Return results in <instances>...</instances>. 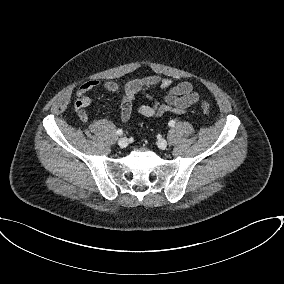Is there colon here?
I'll return each mask as SVG.
<instances>
[{"mask_svg": "<svg viewBox=\"0 0 284 284\" xmlns=\"http://www.w3.org/2000/svg\"><path fill=\"white\" fill-rule=\"evenodd\" d=\"M201 108L204 114L208 115L210 113V105L207 101L201 102Z\"/></svg>", "mask_w": 284, "mask_h": 284, "instance_id": "5ec220e1", "label": "colon"}]
</instances>
